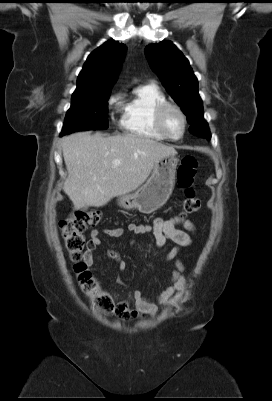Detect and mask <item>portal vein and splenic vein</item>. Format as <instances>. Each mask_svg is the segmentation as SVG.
Here are the masks:
<instances>
[{"instance_id":"1","label":"portal vein and splenic vein","mask_w":272,"mask_h":401,"mask_svg":"<svg viewBox=\"0 0 272 401\" xmlns=\"http://www.w3.org/2000/svg\"><path fill=\"white\" fill-rule=\"evenodd\" d=\"M112 163L114 167H117L120 164V160H114Z\"/></svg>"}]
</instances>
